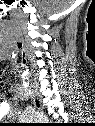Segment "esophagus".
Returning a JSON list of instances; mask_svg holds the SVG:
<instances>
[{
    "mask_svg": "<svg viewBox=\"0 0 95 126\" xmlns=\"http://www.w3.org/2000/svg\"><path fill=\"white\" fill-rule=\"evenodd\" d=\"M33 102L36 108L41 109V101L37 95L33 96Z\"/></svg>",
    "mask_w": 95,
    "mask_h": 126,
    "instance_id": "1",
    "label": "esophagus"
}]
</instances>
